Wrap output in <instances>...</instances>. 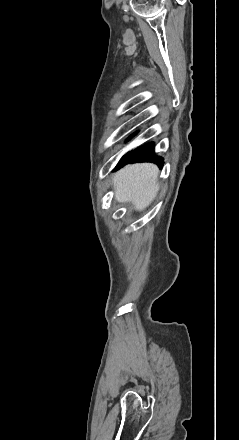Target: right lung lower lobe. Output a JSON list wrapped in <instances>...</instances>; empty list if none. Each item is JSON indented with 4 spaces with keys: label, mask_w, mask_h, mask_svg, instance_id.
Listing matches in <instances>:
<instances>
[{
    "label": "right lung lower lobe",
    "mask_w": 239,
    "mask_h": 440,
    "mask_svg": "<svg viewBox=\"0 0 239 440\" xmlns=\"http://www.w3.org/2000/svg\"><path fill=\"white\" fill-rule=\"evenodd\" d=\"M154 143H148L145 144L134 151L127 153L119 162L116 169L124 166L127 163H133V162H144V161H150L154 162L159 165V167H162L164 161L161 157H155L154 151H153Z\"/></svg>",
    "instance_id": "1"
}]
</instances>
